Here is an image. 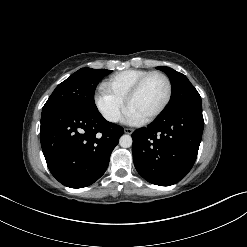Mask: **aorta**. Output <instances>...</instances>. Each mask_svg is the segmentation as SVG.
Wrapping results in <instances>:
<instances>
[{
	"label": "aorta",
	"instance_id": "1",
	"mask_svg": "<svg viewBox=\"0 0 247 247\" xmlns=\"http://www.w3.org/2000/svg\"><path fill=\"white\" fill-rule=\"evenodd\" d=\"M133 140L130 135H122L119 140V144L123 148H129L132 146Z\"/></svg>",
	"mask_w": 247,
	"mask_h": 247
}]
</instances>
